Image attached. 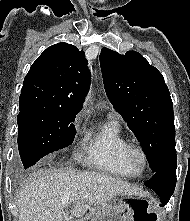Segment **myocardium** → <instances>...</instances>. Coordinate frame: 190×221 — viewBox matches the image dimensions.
<instances>
[{"label":"myocardium","instance_id":"obj_1","mask_svg":"<svg viewBox=\"0 0 190 221\" xmlns=\"http://www.w3.org/2000/svg\"><path fill=\"white\" fill-rule=\"evenodd\" d=\"M126 157L131 167L137 173H142L148 167L149 155L145 147L140 143H129L126 149Z\"/></svg>","mask_w":190,"mask_h":221}]
</instances>
